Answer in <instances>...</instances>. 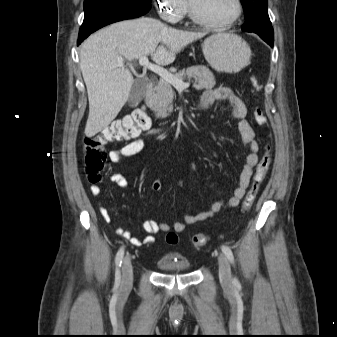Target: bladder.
<instances>
[{
	"label": "bladder",
	"mask_w": 337,
	"mask_h": 337,
	"mask_svg": "<svg viewBox=\"0 0 337 337\" xmlns=\"http://www.w3.org/2000/svg\"><path fill=\"white\" fill-rule=\"evenodd\" d=\"M158 269L165 274H182L190 269L188 260L174 253H166L157 261Z\"/></svg>",
	"instance_id": "1"
}]
</instances>
